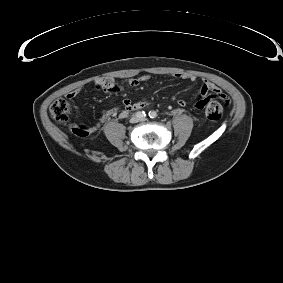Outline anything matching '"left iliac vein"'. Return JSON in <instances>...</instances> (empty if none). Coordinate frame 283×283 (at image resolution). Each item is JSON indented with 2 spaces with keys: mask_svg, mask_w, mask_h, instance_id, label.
<instances>
[{
  "mask_svg": "<svg viewBox=\"0 0 283 283\" xmlns=\"http://www.w3.org/2000/svg\"><path fill=\"white\" fill-rule=\"evenodd\" d=\"M140 121H146V118H142Z\"/></svg>",
  "mask_w": 283,
  "mask_h": 283,
  "instance_id": "obj_1",
  "label": "left iliac vein"
}]
</instances>
